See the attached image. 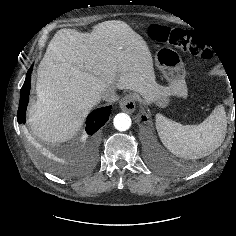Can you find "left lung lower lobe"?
<instances>
[{
	"instance_id": "left-lung-lower-lobe-1",
	"label": "left lung lower lobe",
	"mask_w": 236,
	"mask_h": 236,
	"mask_svg": "<svg viewBox=\"0 0 236 236\" xmlns=\"http://www.w3.org/2000/svg\"><path fill=\"white\" fill-rule=\"evenodd\" d=\"M143 120H146V117H142Z\"/></svg>"
}]
</instances>
